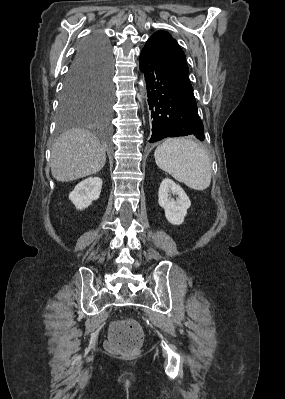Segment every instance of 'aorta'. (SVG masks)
Here are the masks:
<instances>
[{
	"label": "aorta",
	"instance_id": "aorta-1",
	"mask_svg": "<svg viewBox=\"0 0 285 399\" xmlns=\"http://www.w3.org/2000/svg\"><path fill=\"white\" fill-rule=\"evenodd\" d=\"M140 85H141V96L143 97V89L145 87V83L143 81H141Z\"/></svg>",
	"mask_w": 285,
	"mask_h": 399
}]
</instances>
